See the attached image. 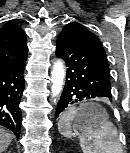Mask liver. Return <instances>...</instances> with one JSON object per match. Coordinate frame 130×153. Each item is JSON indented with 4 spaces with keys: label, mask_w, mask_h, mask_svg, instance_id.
<instances>
[{
    "label": "liver",
    "mask_w": 130,
    "mask_h": 153,
    "mask_svg": "<svg viewBox=\"0 0 130 153\" xmlns=\"http://www.w3.org/2000/svg\"><path fill=\"white\" fill-rule=\"evenodd\" d=\"M12 141V135L0 127V153H3Z\"/></svg>",
    "instance_id": "liver-1"
}]
</instances>
